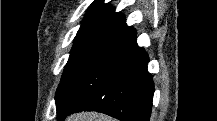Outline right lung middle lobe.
<instances>
[{
    "mask_svg": "<svg viewBox=\"0 0 217 121\" xmlns=\"http://www.w3.org/2000/svg\"><path fill=\"white\" fill-rule=\"evenodd\" d=\"M126 24L101 22L81 26L65 66L56 97L75 82L125 29Z\"/></svg>",
    "mask_w": 217,
    "mask_h": 121,
    "instance_id": "obj_1",
    "label": "right lung middle lobe"
}]
</instances>
